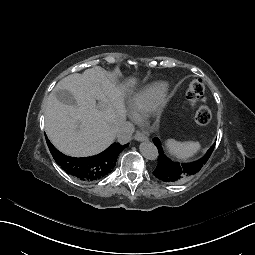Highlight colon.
I'll return each mask as SVG.
<instances>
[{
	"label": "colon",
	"mask_w": 255,
	"mask_h": 255,
	"mask_svg": "<svg viewBox=\"0 0 255 255\" xmlns=\"http://www.w3.org/2000/svg\"><path fill=\"white\" fill-rule=\"evenodd\" d=\"M205 85L201 79H192L189 83L186 99L194 110L193 117L197 124L206 125L210 122L212 113L207 105H199L204 99Z\"/></svg>",
	"instance_id": "5ec220e1"
}]
</instances>
